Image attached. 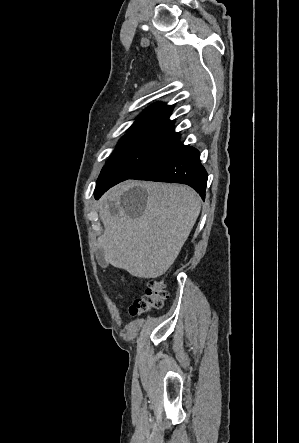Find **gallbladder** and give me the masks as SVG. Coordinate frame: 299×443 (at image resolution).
Segmentation results:
<instances>
[{"label":"gallbladder","instance_id":"obj_1","mask_svg":"<svg viewBox=\"0 0 299 443\" xmlns=\"http://www.w3.org/2000/svg\"><path fill=\"white\" fill-rule=\"evenodd\" d=\"M96 258L99 261V263H103L104 255H103V249L101 247H98L96 250Z\"/></svg>","mask_w":299,"mask_h":443}]
</instances>
